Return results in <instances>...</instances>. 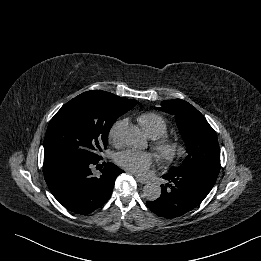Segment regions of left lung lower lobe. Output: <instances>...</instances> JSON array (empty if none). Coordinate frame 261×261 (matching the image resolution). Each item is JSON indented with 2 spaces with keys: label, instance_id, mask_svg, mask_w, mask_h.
I'll return each instance as SVG.
<instances>
[{
  "label": "left lung lower lobe",
  "instance_id": "0a47b994",
  "mask_svg": "<svg viewBox=\"0 0 261 261\" xmlns=\"http://www.w3.org/2000/svg\"><path fill=\"white\" fill-rule=\"evenodd\" d=\"M218 174L202 168L169 171L162 177L161 195L146 204L155 214L165 218L181 216L197 207L214 186Z\"/></svg>",
  "mask_w": 261,
  "mask_h": 261
}]
</instances>
